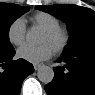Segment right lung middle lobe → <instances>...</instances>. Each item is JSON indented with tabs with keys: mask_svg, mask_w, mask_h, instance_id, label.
Instances as JSON below:
<instances>
[{
	"mask_svg": "<svg viewBox=\"0 0 95 95\" xmlns=\"http://www.w3.org/2000/svg\"><path fill=\"white\" fill-rule=\"evenodd\" d=\"M28 10V7L17 4L0 3V55H5L14 50L8 41L9 28L19 16Z\"/></svg>",
	"mask_w": 95,
	"mask_h": 95,
	"instance_id": "obj_1",
	"label": "right lung middle lobe"
}]
</instances>
